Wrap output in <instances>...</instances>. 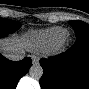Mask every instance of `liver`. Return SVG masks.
Segmentation results:
<instances>
[{
  "label": "liver",
  "mask_w": 89,
  "mask_h": 89,
  "mask_svg": "<svg viewBox=\"0 0 89 89\" xmlns=\"http://www.w3.org/2000/svg\"><path fill=\"white\" fill-rule=\"evenodd\" d=\"M13 47H20V44L17 40H12L11 42H2L1 43V51L6 54L7 50Z\"/></svg>",
  "instance_id": "6515ba94"
}]
</instances>
